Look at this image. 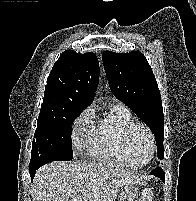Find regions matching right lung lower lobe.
<instances>
[{"label": "right lung lower lobe", "instance_id": "obj_1", "mask_svg": "<svg viewBox=\"0 0 196 201\" xmlns=\"http://www.w3.org/2000/svg\"><path fill=\"white\" fill-rule=\"evenodd\" d=\"M36 171H37V169H30L31 180H33Z\"/></svg>", "mask_w": 196, "mask_h": 201}]
</instances>
